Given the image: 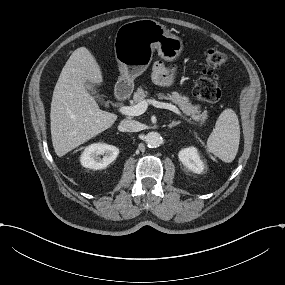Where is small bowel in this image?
<instances>
[{
    "label": "small bowel",
    "mask_w": 285,
    "mask_h": 285,
    "mask_svg": "<svg viewBox=\"0 0 285 285\" xmlns=\"http://www.w3.org/2000/svg\"><path fill=\"white\" fill-rule=\"evenodd\" d=\"M153 81L160 86H169L172 83V71L163 63L158 62L152 70Z\"/></svg>",
    "instance_id": "1"
}]
</instances>
